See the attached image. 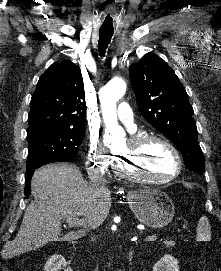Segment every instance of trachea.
<instances>
[{"instance_id": "1", "label": "trachea", "mask_w": 221, "mask_h": 271, "mask_svg": "<svg viewBox=\"0 0 221 271\" xmlns=\"http://www.w3.org/2000/svg\"><path fill=\"white\" fill-rule=\"evenodd\" d=\"M113 27H101L99 30V43H98V51L101 57H104L107 46L110 43V40L113 35Z\"/></svg>"}]
</instances>
